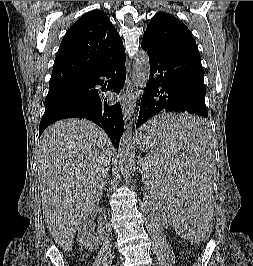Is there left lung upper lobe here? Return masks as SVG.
I'll return each mask as SVG.
<instances>
[{
	"instance_id": "left-lung-upper-lobe-1",
	"label": "left lung upper lobe",
	"mask_w": 253,
	"mask_h": 266,
	"mask_svg": "<svg viewBox=\"0 0 253 266\" xmlns=\"http://www.w3.org/2000/svg\"><path fill=\"white\" fill-rule=\"evenodd\" d=\"M143 38L159 43L178 44L198 51L196 42L184 23L166 13H157L152 17Z\"/></svg>"
}]
</instances>
